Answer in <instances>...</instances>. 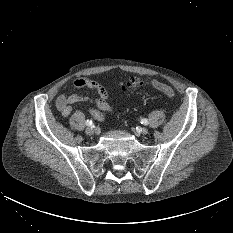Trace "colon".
Returning a JSON list of instances; mask_svg holds the SVG:
<instances>
[{
	"mask_svg": "<svg viewBox=\"0 0 233 233\" xmlns=\"http://www.w3.org/2000/svg\"><path fill=\"white\" fill-rule=\"evenodd\" d=\"M144 84V82L138 78H131L126 84L125 86L126 87H139V86H142ZM150 86L153 87L154 89L160 91L161 93L165 94L166 96L168 97H173L175 95L174 93V90L162 83V82H159V81H156V80H153L151 81L150 83Z\"/></svg>",
	"mask_w": 233,
	"mask_h": 233,
	"instance_id": "5ec220e1",
	"label": "colon"
}]
</instances>
